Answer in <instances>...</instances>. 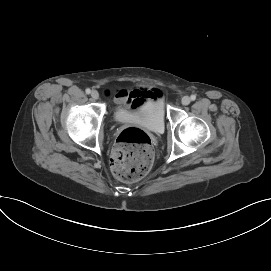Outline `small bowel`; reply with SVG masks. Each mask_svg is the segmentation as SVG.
Segmentation results:
<instances>
[{"mask_svg": "<svg viewBox=\"0 0 271 271\" xmlns=\"http://www.w3.org/2000/svg\"><path fill=\"white\" fill-rule=\"evenodd\" d=\"M161 95V91L157 88L150 89L141 87L131 92L120 90L115 96V101L129 108H138L145 101L160 98Z\"/></svg>", "mask_w": 271, "mask_h": 271, "instance_id": "1", "label": "small bowel"}]
</instances>
